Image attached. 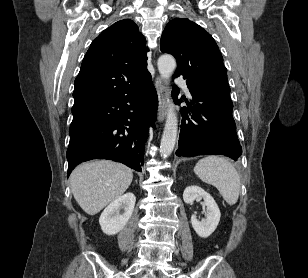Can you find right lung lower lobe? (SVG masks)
<instances>
[{"label":"right lung lower lobe","instance_id":"right-lung-lower-lobe-1","mask_svg":"<svg viewBox=\"0 0 308 278\" xmlns=\"http://www.w3.org/2000/svg\"><path fill=\"white\" fill-rule=\"evenodd\" d=\"M157 113V93L148 77L130 93L72 110L68 176L81 162L109 159L141 171L144 144Z\"/></svg>","mask_w":308,"mask_h":278}]
</instances>
